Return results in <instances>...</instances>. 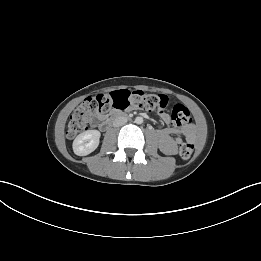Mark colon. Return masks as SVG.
Returning a JSON list of instances; mask_svg holds the SVG:
<instances>
[{
  "instance_id": "colon-1",
  "label": "colon",
  "mask_w": 261,
  "mask_h": 261,
  "mask_svg": "<svg viewBox=\"0 0 261 261\" xmlns=\"http://www.w3.org/2000/svg\"><path fill=\"white\" fill-rule=\"evenodd\" d=\"M168 105V98L161 94L145 93L143 91L117 90L110 93H100L89 96L74 110L68 121L66 134L74 138L85 131L91 119L99 113L108 112L111 108L124 110L129 107L158 110L163 112ZM171 118L176 125L186 126L191 122L188 108L182 104L174 105ZM194 151L192 142L181 144L179 154L183 159L191 157Z\"/></svg>"
}]
</instances>
